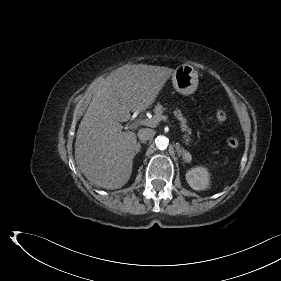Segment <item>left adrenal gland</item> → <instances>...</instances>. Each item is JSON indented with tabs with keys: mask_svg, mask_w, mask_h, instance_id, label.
Wrapping results in <instances>:
<instances>
[{
	"mask_svg": "<svg viewBox=\"0 0 281 281\" xmlns=\"http://www.w3.org/2000/svg\"><path fill=\"white\" fill-rule=\"evenodd\" d=\"M176 151L178 153V156H182V159L184 161H187L186 159H187V156L189 155L188 151L181 148L179 144H176Z\"/></svg>",
	"mask_w": 281,
	"mask_h": 281,
	"instance_id": "obj_1",
	"label": "left adrenal gland"
}]
</instances>
